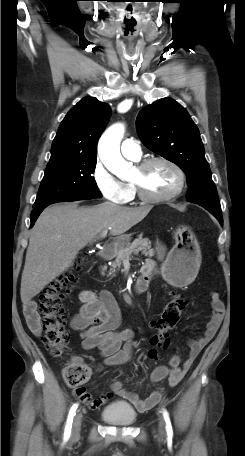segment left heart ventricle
I'll list each match as a JSON object with an SVG mask.
<instances>
[{
  "instance_id": "obj_1",
  "label": "left heart ventricle",
  "mask_w": 245,
  "mask_h": 456,
  "mask_svg": "<svg viewBox=\"0 0 245 456\" xmlns=\"http://www.w3.org/2000/svg\"><path fill=\"white\" fill-rule=\"evenodd\" d=\"M132 180L141 182L145 190L154 196L167 195L178 185L176 172L164 163H155L143 173L136 169Z\"/></svg>"
}]
</instances>
